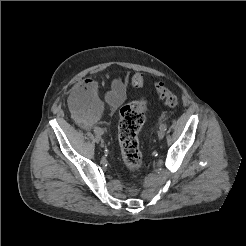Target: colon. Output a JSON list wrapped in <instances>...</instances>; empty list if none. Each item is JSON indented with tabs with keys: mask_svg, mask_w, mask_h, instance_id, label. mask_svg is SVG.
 <instances>
[{
	"mask_svg": "<svg viewBox=\"0 0 246 246\" xmlns=\"http://www.w3.org/2000/svg\"><path fill=\"white\" fill-rule=\"evenodd\" d=\"M132 85L141 88L144 85V76L136 73L132 77ZM155 90L160 100L167 106L174 108L178 105V98L161 81L155 83ZM147 101L144 98L133 101L120 110L118 139L121 156L125 166L136 171L142 165V154L139 149L138 134L145 122Z\"/></svg>",
	"mask_w": 246,
	"mask_h": 246,
	"instance_id": "colon-1",
	"label": "colon"
}]
</instances>
